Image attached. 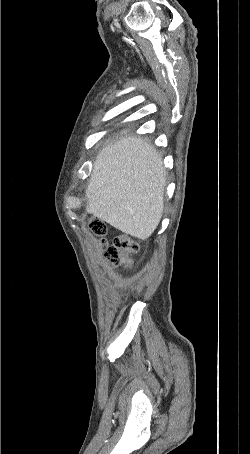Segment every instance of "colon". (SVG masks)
<instances>
[{
  "label": "colon",
  "instance_id": "obj_1",
  "mask_svg": "<svg viewBox=\"0 0 250 454\" xmlns=\"http://www.w3.org/2000/svg\"><path fill=\"white\" fill-rule=\"evenodd\" d=\"M90 227L101 238L106 234V225L100 220L91 221ZM102 247L106 258L112 264L127 265L129 263V257L139 250L138 244L127 235L116 236L111 245H107L102 239Z\"/></svg>",
  "mask_w": 250,
  "mask_h": 454
}]
</instances>
